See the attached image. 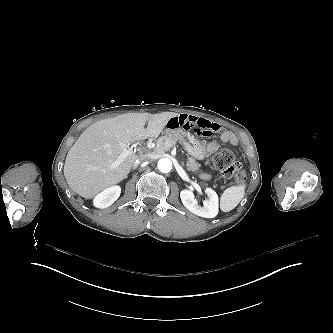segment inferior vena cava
<instances>
[{
	"label": "inferior vena cava",
	"mask_w": 333,
	"mask_h": 333,
	"mask_svg": "<svg viewBox=\"0 0 333 333\" xmlns=\"http://www.w3.org/2000/svg\"><path fill=\"white\" fill-rule=\"evenodd\" d=\"M150 160L148 157H141L140 159L136 160L134 163V167H138L141 163H144L146 161Z\"/></svg>",
	"instance_id": "1"
}]
</instances>
